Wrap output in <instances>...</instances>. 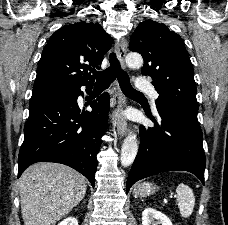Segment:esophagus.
Returning <instances> with one entry per match:
<instances>
[{"instance_id":"esophagus-1","label":"esophagus","mask_w":228,"mask_h":225,"mask_svg":"<svg viewBox=\"0 0 228 225\" xmlns=\"http://www.w3.org/2000/svg\"><path fill=\"white\" fill-rule=\"evenodd\" d=\"M127 48H128V43L125 38H122L115 45V51L117 54V58L121 64V67L123 68V70L126 68L125 67V56H126ZM117 100H118V109L122 112L124 105H126V98L121 93L119 86H118ZM116 129H117V134H118L119 138L125 137V135L127 134V121L125 118H121L117 122Z\"/></svg>"}]
</instances>
